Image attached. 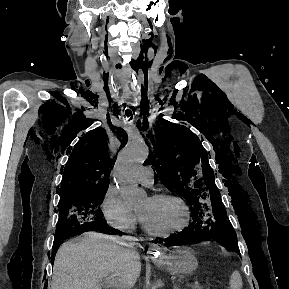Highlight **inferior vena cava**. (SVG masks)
Segmentation results:
<instances>
[{
  "instance_id": "inferior-vena-cava-1",
  "label": "inferior vena cava",
  "mask_w": 289,
  "mask_h": 289,
  "mask_svg": "<svg viewBox=\"0 0 289 289\" xmlns=\"http://www.w3.org/2000/svg\"><path fill=\"white\" fill-rule=\"evenodd\" d=\"M134 245H135V243H131V244L129 245V247H130V257H131V259H136V258L139 256V254H138V252L136 251ZM135 283H136V280H135V279H129V280H127V282L125 283L126 289H131L132 287H134Z\"/></svg>"
}]
</instances>
